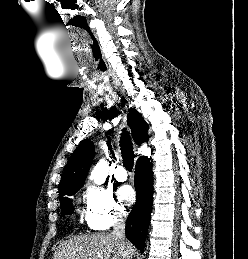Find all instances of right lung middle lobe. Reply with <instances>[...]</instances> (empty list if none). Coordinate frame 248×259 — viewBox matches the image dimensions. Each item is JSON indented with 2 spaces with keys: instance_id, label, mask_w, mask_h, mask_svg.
<instances>
[{
  "instance_id": "1",
  "label": "right lung middle lobe",
  "mask_w": 248,
  "mask_h": 259,
  "mask_svg": "<svg viewBox=\"0 0 248 259\" xmlns=\"http://www.w3.org/2000/svg\"><path fill=\"white\" fill-rule=\"evenodd\" d=\"M79 189L80 188L67 191L63 196L60 197L61 213L63 216L73 213L72 200L68 197H65V195H74Z\"/></svg>"
}]
</instances>
